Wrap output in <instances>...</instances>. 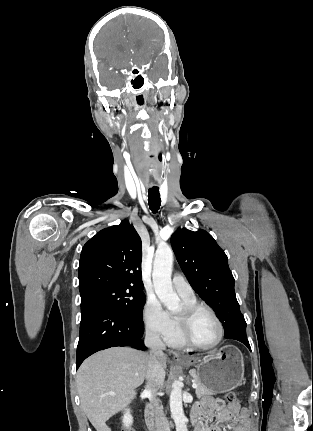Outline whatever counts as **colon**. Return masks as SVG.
<instances>
[{"mask_svg": "<svg viewBox=\"0 0 313 431\" xmlns=\"http://www.w3.org/2000/svg\"><path fill=\"white\" fill-rule=\"evenodd\" d=\"M225 399L227 400V402H228L229 404H235V403H238L237 395H236V393H235V392H233V391L227 392V393H226V395H225ZM123 431H131V430L126 428V429H124Z\"/></svg>", "mask_w": 313, "mask_h": 431, "instance_id": "colon-1", "label": "colon"}]
</instances>
